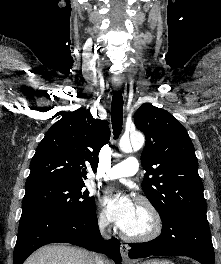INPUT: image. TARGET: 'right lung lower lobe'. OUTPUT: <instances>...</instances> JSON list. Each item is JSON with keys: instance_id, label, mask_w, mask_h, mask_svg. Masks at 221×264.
Wrapping results in <instances>:
<instances>
[{"instance_id": "obj_1", "label": "right lung lower lobe", "mask_w": 221, "mask_h": 264, "mask_svg": "<svg viewBox=\"0 0 221 264\" xmlns=\"http://www.w3.org/2000/svg\"><path fill=\"white\" fill-rule=\"evenodd\" d=\"M65 242L90 251L105 253L120 264V242H104L97 223L96 210L81 215L30 212L21 215L13 264H23L36 249L49 243Z\"/></svg>"}]
</instances>
